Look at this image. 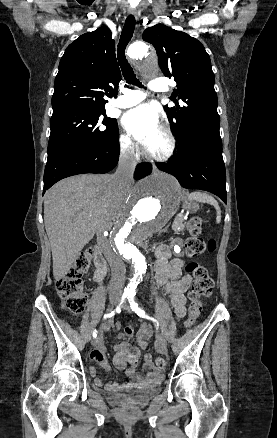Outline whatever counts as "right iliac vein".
<instances>
[{"mask_svg": "<svg viewBox=\"0 0 277 438\" xmlns=\"http://www.w3.org/2000/svg\"><path fill=\"white\" fill-rule=\"evenodd\" d=\"M109 301H110V304L114 306V305H116L118 303L119 299H118L117 296H110ZM99 342H100V338L99 337L93 338L92 341H91L93 346L98 345Z\"/></svg>", "mask_w": 277, "mask_h": 438, "instance_id": "obj_1", "label": "right iliac vein"}]
</instances>
